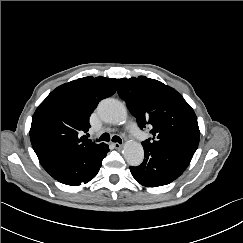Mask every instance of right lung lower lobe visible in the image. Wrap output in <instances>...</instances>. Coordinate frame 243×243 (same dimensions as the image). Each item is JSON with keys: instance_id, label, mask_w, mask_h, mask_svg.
Segmentation results:
<instances>
[{"instance_id": "right-lung-lower-lobe-1", "label": "right lung lower lobe", "mask_w": 243, "mask_h": 243, "mask_svg": "<svg viewBox=\"0 0 243 243\" xmlns=\"http://www.w3.org/2000/svg\"><path fill=\"white\" fill-rule=\"evenodd\" d=\"M108 152L109 148L104 144L91 152L68 154L42 166L59 182L78 186L89 182L97 175L102 165V160Z\"/></svg>"}]
</instances>
